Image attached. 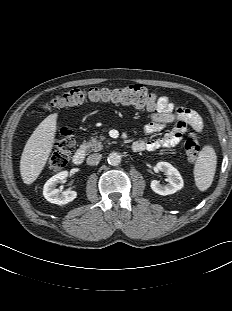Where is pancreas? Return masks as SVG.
<instances>
[{
    "label": "pancreas",
    "instance_id": "1",
    "mask_svg": "<svg viewBox=\"0 0 232 311\" xmlns=\"http://www.w3.org/2000/svg\"><path fill=\"white\" fill-rule=\"evenodd\" d=\"M104 137H101L100 140L97 139V137H91V139L88 142H84L82 147L89 151H100L103 148L102 140H104Z\"/></svg>",
    "mask_w": 232,
    "mask_h": 311
}]
</instances>
